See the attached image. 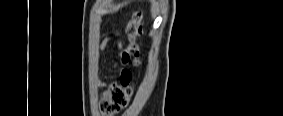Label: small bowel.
Listing matches in <instances>:
<instances>
[{"instance_id": "obj_1", "label": "small bowel", "mask_w": 283, "mask_h": 116, "mask_svg": "<svg viewBox=\"0 0 283 116\" xmlns=\"http://www.w3.org/2000/svg\"><path fill=\"white\" fill-rule=\"evenodd\" d=\"M112 46L111 42L109 39H104L101 43V49L102 50H106L109 49ZM116 49H117V57L116 59L113 61V68H118L121 65L126 64L128 58L124 53V49L123 46L120 42L116 43ZM130 72L128 70H122L121 71V75H129Z\"/></svg>"}]
</instances>
